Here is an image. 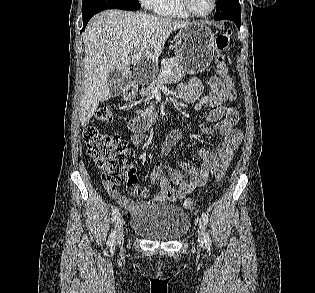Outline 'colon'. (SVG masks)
<instances>
[{
	"label": "colon",
	"instance_id": "colon-1",
	"mask_svg": "<svg viewBox=\"0 0 315 293\" xmlns=\"http://www.w3.org/2000/svg\"><path fill=\"white\" fill-rule=\"evenodd\" d=\"M231 31L229 29L219 33L215 38V64L217 72L221 77V85H225V91L229 94H235L237 89V78L228 76V67L225 61V52L230 43ZM94 119L99 122H110L113 119V113L109 106H100ZM84 141L89 156L101 169L102 179L105 183L111 185L126 184L132 195H138L141 188L136 184V175L131 164L134 159V153L128 148L127 142L117 135H109L100 132L93 126H89L84 131ZM227 165L220 168L216 175V181L220 182L226 173ZM196 201L192 198H186L183 206L186 209L196 208Z\"/></svg>",
	"mask_w": 315,
	"mask_h": 293
}]
</instances>
